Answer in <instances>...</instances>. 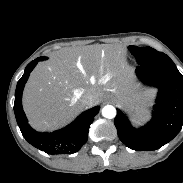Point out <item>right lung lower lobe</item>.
Wrapping results in <instances>:
<instances>
[{
    "mask_svg": "<svg viewBox=\"0 0 183 183\" xmlns=\"http://www.w3.org/2000/svg\"><path fill=\"white\" fill-rule=\"evenodd\" d=\"M46 59L47 57H39L26 66L15 91V117L23 137L34 147L52 155L72 154L86 143L90 125L98 114L100 107L96 106L83 112L73 123L52 133H41L32 129L22 108V92L33 68L39 61Z\"/></svg>",
    "mask_w": 183,
    "mask_h": 183,
    "instance_id": "1",
    "label": "right lung lower lobe"
}]
</instances>
